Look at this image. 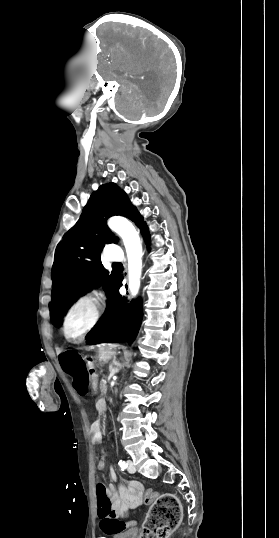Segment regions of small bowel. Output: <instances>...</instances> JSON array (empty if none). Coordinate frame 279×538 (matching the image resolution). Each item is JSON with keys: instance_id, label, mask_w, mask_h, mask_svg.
Masks as SVG:
<instances>
[{"instance_id": "obj_1", "label": "small bowel", "mask_w": 279, "mask_h": 538, "mask_svg": "<svg viewBox=\"0 0 279 538\" xmlns=\"http://www.w3.org/2000/svg\"><path fill=\"white\" fill-rule=\"evenodd\" d=\"M73 388L80 396L86 395L92 388L90 378L86 373H79L73 376ZM92 441L99 443L102 440L101 425L96 421L91 426ZM106 466L105 461L98 463V469L102 470ZM111 476L115 480V474L111 471ZM143 485L139 481L132 480L127 485H109L108 494L112 503L113 513L109 517H101V529L112 534L134 527V521H122L119 517L124 516L130 509H135L143 502Z\"/></svg>"}]
</instances>
